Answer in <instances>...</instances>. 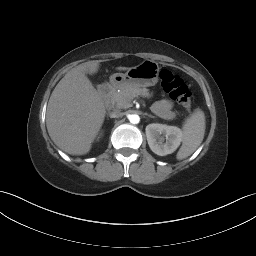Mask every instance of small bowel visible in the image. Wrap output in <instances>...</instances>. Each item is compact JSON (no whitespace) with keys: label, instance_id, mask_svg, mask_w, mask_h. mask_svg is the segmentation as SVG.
<instances>
[{"label":"small bowel","instance_id":"1","mask_svg":"<svg viewBox=\"0 0 256 256\" xmlns=\"http://www.w3.org/2000/svg\"><path fill=\"white\" fill-rule=\"evenodd\" d=\"M155 113L164 119H173L175 112L173 111V104L167 99L160 100L154 105Z\"/></svg>","mask_w":256,"mask_h":256}]
</instances>
